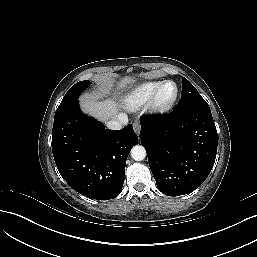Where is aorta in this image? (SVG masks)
<instances>
[{"instance_id":"aorta-1","label":"aorta","mask_w":257,"mask_h":257,"mask_svg":"<svg viewBox=\"0 0 257 257\" xmlns=\"http://www.w3.org/2000/svg\"><path fill=\"white\" fill-rule=\"evenodd\" d=\"M131 156L136 161H142L146 157V150L142 145H135L131 149Z\"/></svg>"}]
</instances>
